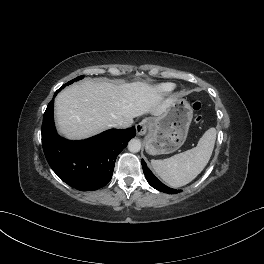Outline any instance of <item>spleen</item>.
<instances>
[{
  "mask_svg": "<svg viewBox=\"0 0 264 264\" xmlns=\"http://www.w3.org/2000/svg\"><path fill=\"white\" fill-rule=\"evenodd\" d=\"M216 129H208L197 146L164 160H151L157 175L172 187H181L194 180L205 168L212 155Z\"/></svg>",
  "mask_w": 264,
  "mask_h": 264,
  "instance_id": "1",
  "label": "spleen"
}]
</instances>
